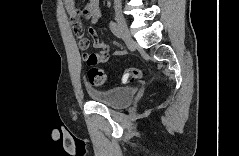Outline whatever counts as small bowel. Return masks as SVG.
<instances>
[{"label": "small bowel", "mask_w": 239, "mask_h": 156, "mask_svg": "<svg viewBox=\"0 0 239 156\" xmlns=\"http://www.w3.org/2000/svg\"><path fill=\"white\" fill-rule=\"evenodd\" d=\"M64 5L68 13L72 16L71 18L72 27L76 36L79 39V46L81 50L83 51L88 50L90 47V39L85 37L84 31L80 22L81 17H79L78 15L82 13L83 14L82 17L88 19L92 24H96L102 15L100 1L89 0L85 3L83 8H78L75 2L71 0H66L64 2ZM88 33L91 37L94 47L98 49L99 51L94 53L84 54V58L87 65L96 66L97 64L107 62L110 57L109 46L100 40L99 34L95 28L90 27L88 29ZM124 53H125V50L121 49V50L114 51L113 55L121 56V55H124Z\"/></svg>", "instance_id": "1"}]
</instances>
